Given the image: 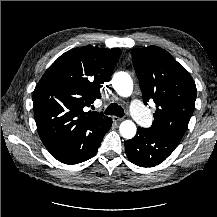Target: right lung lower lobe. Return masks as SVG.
I'll list each match as a JSON object with an SVG mask.
<instances>
[{
    "mask_svg": "<svg viewBox=\"0 0 217 217\" xmlns=\"http://www.w3.org/2000/svg\"><path fill=\"white\" fill-rule=\"evenodd\" d=\"M112 125V119L108 118L103 123L94 127L77 144L49 151L58 161L65 164H77L93 157L107 131Z\"/></svg>",
    "mask_w": 217,
    "mask_h": 217,
    "instance_id": "98d812e1",
    "label": "right lung lower lobe"
}]
</instances>
